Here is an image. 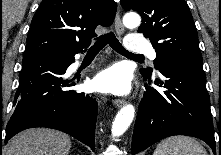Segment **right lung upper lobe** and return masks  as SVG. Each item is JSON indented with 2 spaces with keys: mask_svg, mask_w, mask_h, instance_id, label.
<instances>
[{
  "mask_svg": "<svg viewBox=\"0 0 221 155\" xmlns=\"http://www.w3.org/2000/svg\"><path fill=\"white\" fill-rule=\"evenodd\" d=\"M114 0H43L28 32L24 56L50 52L73 56L84 52L97 26H110Z\"/></svg>",
  "mask_w": 221,
  "mask_h": 155,
  "instance_id": "cb5924a9",
  "label": "right lung upper lobe"
}]
</instances>
